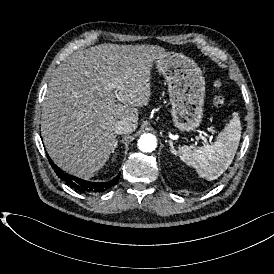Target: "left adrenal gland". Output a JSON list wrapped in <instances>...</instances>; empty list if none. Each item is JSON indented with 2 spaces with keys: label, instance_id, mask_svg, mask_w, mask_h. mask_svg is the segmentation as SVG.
Returning a JSON list of instances; mask_svg holds the SVG:
<instances>
[{
  "label": "left adrenal gland",
  "instance_id": "1",
  "mask_svg": "<svg viewBox=\"0 0 274 274\" xmlns=\"http://www.w3.org/2000/svg\"><path fill=\"white\" fill-rule=\"evenodd\" d=\"M169 144H170V150H171V152H172L173 154H175L176 151L174 150V146H173L172 142H170Z\"/></svg>",
  "mask_w": 274,
  "mask_h": 274
}]
</instances>
